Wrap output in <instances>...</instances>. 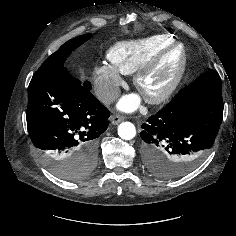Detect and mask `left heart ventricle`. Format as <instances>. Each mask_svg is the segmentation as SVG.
Segmentation results:
<instances>
[{
  "mask_svg": "<svg viewBox=\"0 0 236 236\" xmlns=\"http://www.w3.org/2000/svg\"><path fill=\"white\" fill-rule=\"evenodd\" d=\"M178 67V53L166 55L159 64L143 79L142 87L148 93L163 90L173 79Z\"/></svg>",
  "mask_w": 236,
  "mask_h": 236,
  "instance_id": "obj_1",
  "label": "left heart ventricle"
}]
</instances>
